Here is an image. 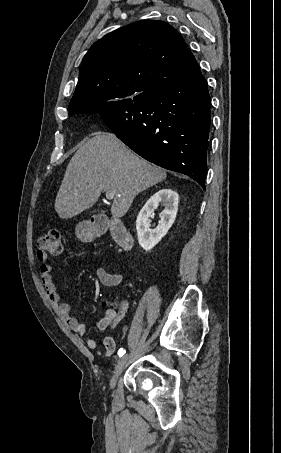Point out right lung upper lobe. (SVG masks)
<instances>
[{"label":"right lung upper lobe","instance_id":"obj_1","mask_svg":"<svg viewBox=\"0 0 281 453\" xmlns=\"http://www.w3.org/2000/svg\"><path fill=\"white\" fill-rule=\"evenodd\" d=\"M196 63L181 34L164 21L122 27L95 42L84 56L69 115L130 101Z\"/></svg>","mask_w":281,"mask_h":453}]
</instances>
